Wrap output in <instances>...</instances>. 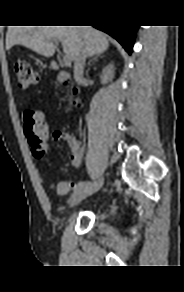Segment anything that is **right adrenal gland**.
<instances>
[{
	"instance_id": "right-adrenal-gland-1",
	"label": "right adrenal gland",
	"mask_w": 184,
	"mask_h": 292,
	"mask_svg": "<svg viewBox=\"0 0 184 292\" xmlns=\"http://www.w3.org/2000/svg\"><path fill=\"white\" fill-rule=\"evenodd\" d=\"M100 56V53L96 54V56H94L89 62H88V66H90L91 62L96 61L98 59V57Z\"/></svg>"
}]
</instances>
